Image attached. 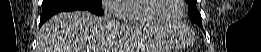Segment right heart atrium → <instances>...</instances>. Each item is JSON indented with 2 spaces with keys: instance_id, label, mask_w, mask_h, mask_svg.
I'll use <instances>...</instances> for the list:
<instances>
[{
  "instance_id": "right-heart-atrium-1",
  "label": "right heart atrium",
  "mask_w": 261,
  "mask_h": 52,
  "mask_svg": "<svg viewBox=\"0 0 261 52\" xmlns=\"http://www.w3.org/2000/svg\"><path fill=\"white\" fill-rule=\"evenodd\" d=\"M125 3V0H103L101 7L107 16L121 18L125 16V12L119 7Z\"/></svg>"
}]
</instances>
